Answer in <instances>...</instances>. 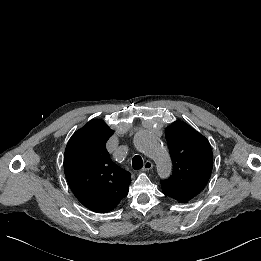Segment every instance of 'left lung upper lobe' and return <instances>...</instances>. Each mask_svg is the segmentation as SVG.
<instances>
[{"label":"left lung upper lobe","instance_id":"obj_1","mask_svg":"<svg viewBox=\"0 0 261 261\" xmlns=\"http://www.w3.org/2000/svg\"><path fill=\"white\" fill-rule=\"evenodd\" d=\"M173 162L168 180H161L164 190L192 199L206 186L212 171L213 155L208 140L182 121L165 129Z\"/></svg>","mask_w":261,"mask_h":261}]
</instances>
